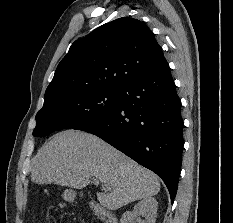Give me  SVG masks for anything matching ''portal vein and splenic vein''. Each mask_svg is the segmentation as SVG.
Instances as JSON below:
<instances>
[{
  "label": "portal vein and splenic vein",
  "instance_id": "18ae733b",
  "mask_svg": "<svg viewBox=\"0 0 233 223\" xmlns=\"http://www.w3.org/2000/svg\"><path fill=\"white\" fill-rule=\"evenodd\" d=\"M92 183H95V185H99L100 179H98V177H92ZM104 185H105V183H104ZM105 187H107V185H105Z\"/></svg>",
  "mask_w": 233,
  "mask_h": 223
}]
</instances>
